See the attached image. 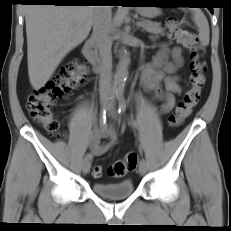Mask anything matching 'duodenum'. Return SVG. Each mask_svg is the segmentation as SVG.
Returning <instances> with one entry per match:
<instances>
[{
    "instance_id": "410a0bca",
    "label": "duodenum",
    "mask_w": 231,
    "mask_h": 231,
    "mask_svg": "<svg viewBox=\"0 0 231 231\" xmlns=\"http://www.w3.org/2000/svg\"><path fill=\"white\" fill-rule=\"evenodd\" d=\"M83 54L92 65L94 71L99 73L101 71V62L94 41L89 40L84 44Z\"/></svg>"
}]
</instances>
